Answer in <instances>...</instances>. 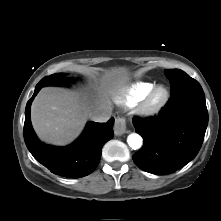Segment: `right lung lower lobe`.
<instances>
[{"label":"right lung lower lobe","mask_w":221,"mask_h":221,"mask_svg":"<svg viewBox=\"0 0 221 221\" xmlns=\"http://www.w3.org/2000/svg\"><path fill=\"white\" fill-rule=\"evenodd\" d=\"M43 86L37 84L25 109L24 140L33 157L52 173L79 178L92 173L99 164L103 145L112 139L114 118L107 123L89 122L82 135L67 147H53L41 143L30 120V107Z\"/></svg>","instance_id":"1"}]
</instances>
